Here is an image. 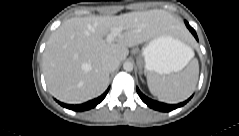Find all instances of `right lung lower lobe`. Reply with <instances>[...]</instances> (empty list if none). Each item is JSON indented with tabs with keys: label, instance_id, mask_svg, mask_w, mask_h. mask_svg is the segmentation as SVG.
<instances>
[{
	"label": "right lung lower lobe",
	"instance_id": "1",
	"mask_svg": "<svg viewBox=\"0 0 239 136\" xmlns=\"http://www.w3.org/2000/svg\"><path fill=\"white\" fill-rule=\"evenodd\" d=\"M109 88L106 90V92H104L100 97L90 100L86 103L83 104H78V105H69V104H64L61 102H58L61 106L68 108L70 110L73 111H85V110H89L91 108H94L96 105H98L100 102H102V100L105 98L106 94L108 93Z\"/></svg>",
	"mask_w": 239,
	"mask_h": 136
}]
</instances>
